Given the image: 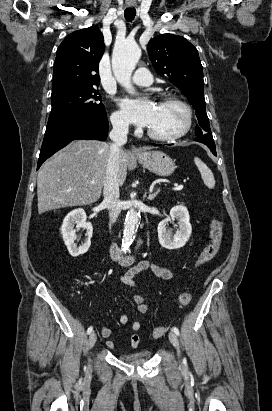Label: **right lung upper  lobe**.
<instances>
[{"label": "right lung upper lobe", "instance_id": "cb5924a9", "mask_svg": "<svg viewBox=\"0 0 272 411\" xmlns=\"http://www.w3.org/2000/svg\"><path fill=\"white\" fill-rule=\"evenodd\" d=\"M104 48L103 34L96 27L69 34L57 50L51 96L71 89L98 87V65Z\"/></svg>", "mask_w": 272, "mask_h": 411}]
</instances>
